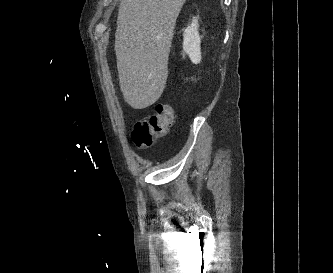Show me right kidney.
Here are the masks:
<instances>
[{
  "label": "right kidney",
  "mask_w": 333,
  "mask_h": 273,
  "mask_svg": "<svg viewBox=\"0 0 333 273\" xmlns=\"http://www.w3.org/2000/svg\"><path fill=\"white\" fill-rule=\"evenodd\" d=\"M183 36V50L193 63H199L201 61V48L197 18H193L191 25L184 30Z\"/></svg>",
  "instance_id": "1"
}]
</instances>
